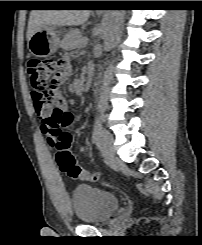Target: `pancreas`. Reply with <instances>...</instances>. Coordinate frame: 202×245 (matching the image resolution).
<instances>
[{
  "label": "pancreas",
  "instance_id": "1",
  "mask_svg": "<svg viewBox=\"0 0 202 245\" xmlns=\"http://www.w3.org/2000/svg\"><path fill=\"white\" fill-rule=\"evenodd\" d=\"M83 39L79 30H71L64 36L60 46L63 49L80 48L83 46Z\"/></svg>",
  "mask_w": 202,
  "mask_h": 245
}]
</instances>
